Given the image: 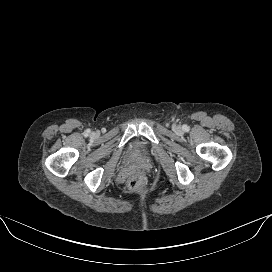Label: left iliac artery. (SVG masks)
Masks as SVG:
<instances>
[{
	"label": "left iliac artery",
	"instance_id": "left-iliac-artery-1",
	"mask_svg": "<svg viewBox=\"0 0 272 272\" xmlns=\"http://www.w3.org/2000/svg\"><path fill=\"white\" fill-rule=\"evenodd\" d=\"M184 130H185V131H188V130H189V128H188L187 126H185V127H184Z\"/></svg>",
	"mask_w": 272,
	"mask_h": 272
}]
</instances>
